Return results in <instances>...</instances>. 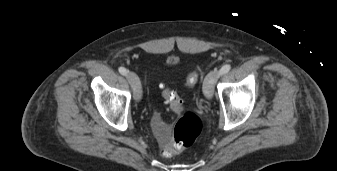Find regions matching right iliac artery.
Segmentation results:
<instances>
[{"instance_id":"right-iliac-artery-1","label":"right iliac artery","mask_w":337,"mask_h":171,"mask_svg":"<svg viewBox=\"0 0 337 171\" xmlns=\"http://www.w3.org/2000/svg\"><path fill=\"white\" fill-rule=\"evenodd\" d=\"M119 72H120V74H122V75H126L128 71H127L124 67H120V68H119Z\"/></svg>"}]
</instances>
